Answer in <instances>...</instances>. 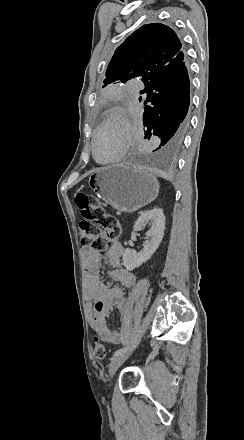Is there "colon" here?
<instances>
[{"instance_id":"5ec220e1","label":"colon","mask_w":244,"mask_h":440,"mask_svg":"<svg viewBox=\"0 0 244 440\" xmlns=\"http://www.w3.org/2000/svg\"><path fill=\"white\" fill-rule=\"evenodd\" d=\"M75 203L85 221L79 224V231L85 245L96 250L104 251L111 245L116 231L121 228V223L110 213H106L101 204L89 194L80 192L75 197ZM95 309L102 312V305L97 304ZM95 359L102 360L106 356L105 344L95 336L92 345Z\"/></svg>"}]
</instances>
